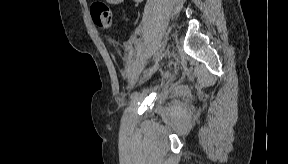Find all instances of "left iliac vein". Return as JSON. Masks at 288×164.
<instances>
[{"label":"left iliac vein","mask_w":288,"mask_h":164,"mask_svg":"<svg viewBox=\"0 0 288 164\" xmlns=\"http://www.w3.org/2000/svg\"><path fill=\"white\" fill-rule=\"evenodd\" d=\"M137 78H138V75H134V76L131 78V82H132V83L135 82V81L137 80Z\"/></svg>","instance_id":"left-iliac-vein-1"}]
</instances>
